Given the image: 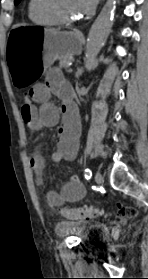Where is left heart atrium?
Returning a JSON list of instances; mask_svg holds the SVG:
<instances>
[{
  "mask_svg": "<svg viewBox=\"0 0 148 279\" xmlns=\"http://www.w3.org/2000/svg\"><path fill=\"white\" fill-rule=\"evenodd\" d=\"M81 14H90L96 7L98 0H76Z\"/></svg>",
  "mask_w": 148,
  "mask_h": 279,
  "instance_id": "1",
  "label": "left heart atrium"
}]
</instances>
